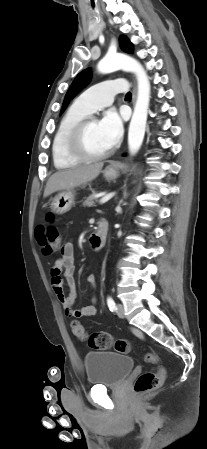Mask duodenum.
<instances>
[{
  "mask_svg": "<svg viewBox=\"0 0 207 449\" xmlns=\"http://www.w3.org/2000/svg\"><path fill=\"white\" fill-rule=\"evenodd\" d=\"M108 233V223L105 220H99L96 230L90 236L91 247L95 251H101L105 247Z\"/></svg>",
  "mask_w": 207,
  "mask_h": 449,
  "instance_id": "duodenum-1",
  "label": "duodenum"
}]
</instances>
